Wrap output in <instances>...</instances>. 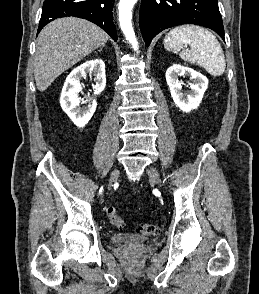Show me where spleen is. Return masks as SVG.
<instances>
[{
	"mask_svg": "<svg viewBox=\"0 0 259 294\" xmlns=\"http://www.w3.org/2000/svg\"><path fill=\"white\" fill-rule=\"evenodd\" d=\"M165 49L179 54L180 58L203 67L213 76H220L226 68L225 56L216 37L208 30L183 25L173 28L163 41ZM190 46V50L184 48Z\"/></svg>",
	"mask_w": 259,
	"mask_h": 294,
	"instance_id": "1",
	"label": "spleen"
}]
</instances>
